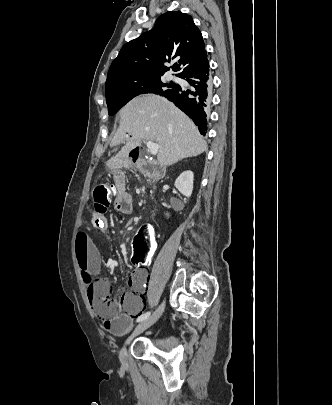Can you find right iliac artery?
Listing matches in <instances>:
<instances>
[{
	"label": "right iliac artery",
	"instance_id": "1",
	"mask_svg": "<svg viewBox=\"0 0 332 405\" xmlns=\"http://www.w3.org/2000/svg\"><path fill=\"white\" fill-rule=\"evenodd\" d=\"M149 316H150V312L143 313L142 315H140V316L136 319V322H141V321L147 319Z\"/></svg>",
	"mask_w": 332,
	"mask_h": 405
}]
</instances>
